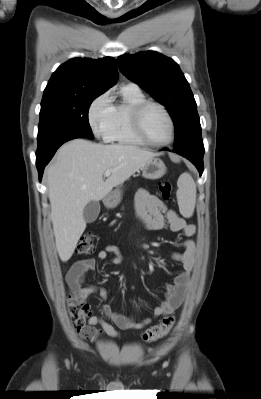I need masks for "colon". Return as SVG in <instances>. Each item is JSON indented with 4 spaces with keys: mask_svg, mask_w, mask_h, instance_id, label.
<instances>
[{
    "mask_svg": "<svg viewBox=\"0 0 261 399\" xmlns=\"http://www.w3.org/2000/svg\"><path fill=\"white\" fill-rule=\"evenodd\" d=\"M159 193L161 197L169 201L171 196V184L168 181H161L159 183ZM95 250L94 236L92 234H84L80 237L76 252L78 254H90ZM68 313L75 330L82 334L86 331V320L91 315V309L88 304L81 300L75 294L68 295L67 301ZM175 324V317L172 315L165 316L161 322L148 328L143 334L145 342H154L166 336Z\"/></svg>",
    "mask_w": 261,
    "mask_h": 399,
    "instance_id": "colon-1",
    "label": "colon"
}]
</instances>
